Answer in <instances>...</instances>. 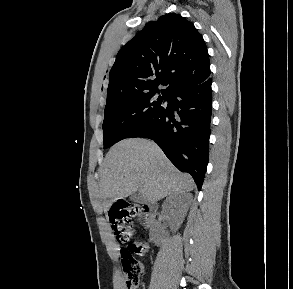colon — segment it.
<instances>
[{
    "label": "colon",
    "mask_w": 293,
    "mask_h": 289,
    "mask_svg": "<svg viewBox=\"0 0 293 289\" xmlns=\"http://www.w3.org/2000/svg\"><path fill=\"white\" fill-rule=\"evenodd\" d=\"M144 213V207L139 204H126L115 202L109 214L113 230L120 242H129L132 238V222L140 218ZM147 252V244L143 241L131 242L127 249H122L124 273L127 285L131 289L139 286L145 268L142 262L135 259L134 255L143 256Z\"/></svg>",
    "instance_id": "5ec220e1"
}]
</instances>
